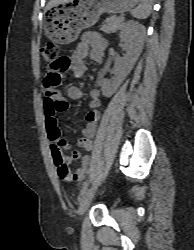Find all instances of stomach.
Here are the masks:
<instances>
[{
  "label": "stomach",
  "mask_w": 194,
  "mask_h": 250,
  "mask_svg": "<svg viewBox=\"0 0 194 250\" xmlns=\"http://www.w3.org/2000/svg\"><path fill=\"white\" fill-rule=\"evenodd\" d=\"M140 0H73L58 4L46 12V36L53 42L66 45L74 42L83 29L94 25L102 13H124Z\"/></svg>",
  "instance_id": "1"
}]
</instances>
